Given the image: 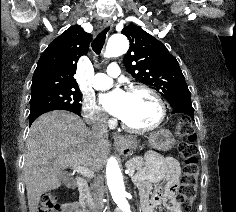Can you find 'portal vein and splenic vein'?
Returning <instances> with one entry per match:
<instances>
[{
    "label": "portal vein and splenic vein",
    "mask_w": 236,
    "mask_h": 212,
    "mask_svg": "<svg viewBox=\"0 0 236 212\" xmlns=\"http://www.w3.org/2000/svg\"><path fill=\"white\" fill-rule=\"evenodd\" d=\"M74 171H76L77 173L86 176V177H93L94 176V172L91 171L90 169L83 167V166H73ZM127 173L129 174V176L134 175V171L133 170H127Z\"/></svg>",
    "instance_id": "18ae733b"
}]
</instances>
